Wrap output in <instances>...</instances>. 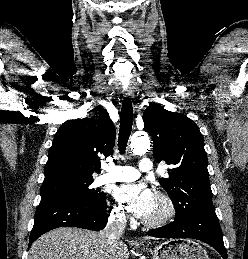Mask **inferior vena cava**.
I'll return each instance as SVG.
<instances>
[{"mask_svg": "<svg viewBox=\"0 0 248 259\" xmlns=\"http://www.w3.org/2000/svg\"><path fill=\"white\" fill-rule=\"evenodd\" d=\"M126 226L125 215L121 213L111 214L102 234L107 238V243L112 245L124 234Z\"/></svg>", "mask_w": 248, "mask_h": 259, "instance_id": "inferior-vena-cava-1", "label": "inferior vena cava"}]
</instances>
